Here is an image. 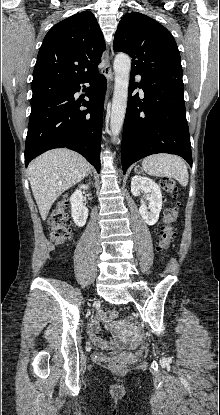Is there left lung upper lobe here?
<instances>
[{
  "instance_id": "1",
  "label": "left lung upper lobe",
  "mask_w": 220,
  "mask_h": 415,
  "mask_svg": "<svg viewBox=\"0 0 220 415\" xmlns=\"http://www.w3.org/2000/svg\"><path fill=\"white\" fill-rule=\"evenodd\" d=\"M113 48L131 56L133 71L182 77L181 58L174 37L144 14L132 12L123 16Z\"/></svg>"
}]
</instances>
